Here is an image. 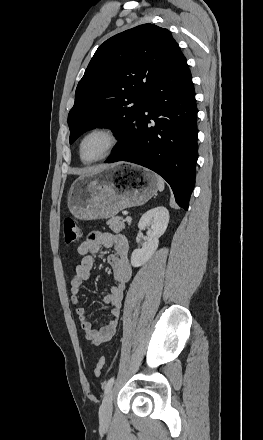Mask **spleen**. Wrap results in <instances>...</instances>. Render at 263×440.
Listing matches in <instances>:
<instances>
[{
    "label": "spleen",
    "instance_id": "1",
    "mask_svg": "<svg viewBox=\"0 0 263 440\" xmlns=\"http://www.w3.org/2000/svg\"><path fill=\"white\" fill-rule=\"evenodd\" d=\"M157 182H158V190L163 191L165 188L164 180L160 176H157Z\"/></svg>",
    "mask_w": 263,
    "mask_h": 440
}]
</instances>
